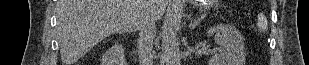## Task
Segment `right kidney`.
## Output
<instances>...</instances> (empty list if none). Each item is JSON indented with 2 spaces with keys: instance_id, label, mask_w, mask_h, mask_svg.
I'll return each instance as SVG.
<instances>
[{
  "instance_id": "1",
  "label": "right kidney",
  "mask_w": 309,
  "mask_h": 65,
  "mask_svg": "<svg viewBox=\"0 0 309 65\" xmlns=\"http://www.w3.org/2000/svg\"><path fill=\"white\" fill-rule=\"evenodd\" d=\"M103 65H125L124 48L121 44L113 45L102 58Z\"/></svg>"
}]
</instances>
